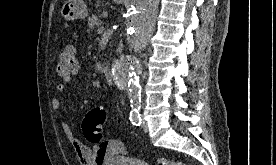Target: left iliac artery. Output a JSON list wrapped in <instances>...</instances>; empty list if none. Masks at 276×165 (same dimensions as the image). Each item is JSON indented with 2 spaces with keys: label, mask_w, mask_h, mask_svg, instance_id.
Returning <instances> with one entry per match:
<instances>
[{
  "label": "left iliac artery",
  "mask_w": 276,
  "mask_h": 165,
  "mask_svg": "<svg viewBox=\"0 0 276 165\" xmlns=\"http://www.w3.org/2000/svg\"><path fill=\"white\" fill-rule=\"evenodd\" d=\"M140 100H133L131 101V111H130V121L135 126H140L142 120L140 116Z\"/></svg>",
  "instance_id": "obj_1"
}]
</instances>
